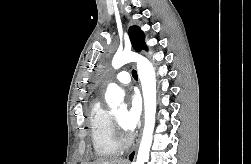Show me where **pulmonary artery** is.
Returning <instances> with one entry per match:
<instances>
[{"label":"pulmonary artery","mask_w":251,"mask_h":164,"mask_svg":"<svg viewBox=\"0 0 251 164\" xmlns=\"http://www.w3.org/2000/svg\"><path fill=\"white\" fill-rule=\"evenodd\" d=\"M115 79L120 84H128L131 81V76L127 71H121L117 74Z\"/></svg>","instance_id":"obj_1"}]
</instances>
